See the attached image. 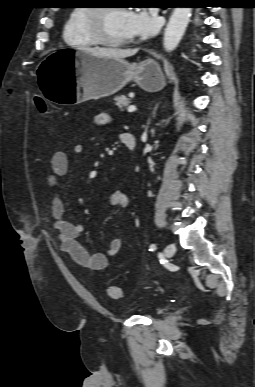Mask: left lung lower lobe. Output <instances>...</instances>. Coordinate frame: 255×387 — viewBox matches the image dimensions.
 I'll list each match as a JSON object with an SVG mask.
<instances>
[{
	"label": "left lung lower lobe",
	"instance_id": "obj_1",
	"mask_svg": "<svg viewBox=\"0 0 255 387\" xmlns=\"http://www.w3.org/2000/svg\"><path fill=\"white\" fill-rule=\"evenodd\" d=\"M189 2L193 4H198L200 3V0H190ZM194 7H200V6H194Z\"/></svg>",
	"mask_w": 255,
	"mask_h": 387
}]
</instances>
